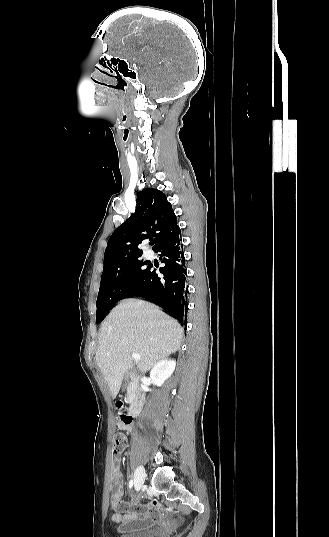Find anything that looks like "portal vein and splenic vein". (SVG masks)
<instances>
[{"label": "portal vein and splenic vein", "mask_w": 329, "mask_h": 537, "mask_svg": "<svg viewBox=\"0 0 329 537\" xmlns=\"http://www.w3.org/2000/svg\"><path fill=\"white\" fill-rule=\"evenodd\" d=\"M132 358H133L134 360H139V359H140V355H139V354H135V353H133V354H132Z\"/></svg>", "instance_id": "18ae733b"}]
</instances>
